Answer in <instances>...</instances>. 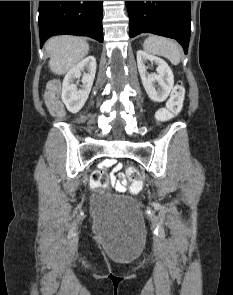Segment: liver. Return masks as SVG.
I'll return each instance as SVG.
<instances>
[{"label":"liver","mask_w":233,"mask_h":295,"mask_svg":"<svg viewBox=\"0 0 233 295\" xmlns=\"http://www.w3.org/2000/svg\"><path fill=\"white\" fill-rule=\"evenodd\" d=\"M45 48L50 55V70L57 75L68 72L89 52L85 39L66 35L50 38Z\"/></svg>","instance_id":"1"}]
</instances>
